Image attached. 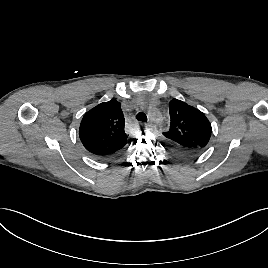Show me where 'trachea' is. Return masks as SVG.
I'll return each mask as SVG.
<instances>
[{"instance_id":"1","label":"trachea","mask_w":268,"mask_h":268,"mask_svg":"<svg viewBox=\"0 0 268 268\" xmlns=\"http://www.w3.org/2000/svg\"><path fill=\"white\" fill-rule=\"evenodd\" d=\"M137 120L138 121H141V122H147V116L145 113L143 112H139L136 116Z\"/></svg>"}]
</instances>
